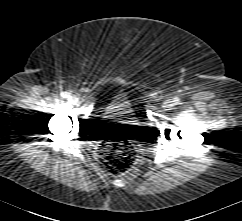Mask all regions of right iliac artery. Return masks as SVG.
<instances>
[{"instance_id": "right-iliac-artery-1", "label": "right iliac artery", "mask_w": 242, "mask_h": 221, "mask_svg": "<svg viewBox=\"0 0 242 221\" xmlns=\"http://www.w3.org/2000/svg\"><path fill=\"white\" fill-rule=\"evenodd\" d=\"M61 97L64 98V99L69 98V93L66 92V91L65 92H62L61 93Z\"/></svg>"}]
</instances>
